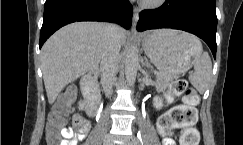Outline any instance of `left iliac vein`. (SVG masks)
<instances>
[{"mask_svg":"<svg viewBox=\"0 0 243 145\" xmlns=\"http://www.w3.org/2000/svg\"><path fill=\"white\" fill-rule=\"evenodd\" d=\"M123 145H136L133 140L126 141Z\"/></svg>","mask_w":243,"mask_h":145,"instance_id":"left-iliac-vein-1","label":"left iliac vein"}]
</instances>
